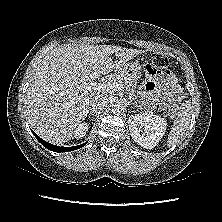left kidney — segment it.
<instances>
[{"mask_svg":"<svg viewBox=\"0 0 222 222\" xmlns=\"http://www.w3.org/2000/svg\"><path fill=\"white\" fill-rule=\"evenodd\" d=\"M128 123L132 139L146 149L154 148L167 128L164 118L151 113L131 115Z\"/></svg>","mask_w":222,"mask_h":222,"instance_id":"obj_1","label":"left kidney"}]
</instances>
